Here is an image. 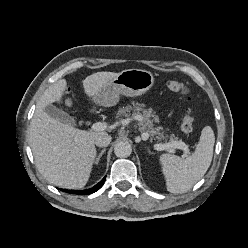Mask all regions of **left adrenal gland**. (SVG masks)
<instances>
[{"mask_svg": "<svg viewBox=\"0 0 248 248\" xmlns=\"http://www.w3.org/2000/svg\"><path fill=\"white\" fill-rule=\"evenodd\" d=\"M147 149H148V152L151 153V151L149 150V148H147Z\"/></svg>", "mask_w": 248, "mask_h": 248, "instance_id": "obj_1", "label": "left adrenal gland"}]
</instances>
